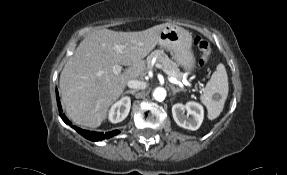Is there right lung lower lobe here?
Masks as SVG:
<instances>
[{"label":"right lung lower lobe","instance_id":"right-lung-lower-lobe-1","mask_svg":"<svg viewBox=\"0 0 287 175\" xmlns=\"http://www.w3.org/2000/svg\"><path fill=\"white\" fill-rule=\"evenodd\" d=\"M56 97H57V104H58V109L60 112V117L62 118V120L70 125L72 128H74L80 135L84 136L86 139L91 140V141H101L103 139H108L113 137L114 135H117L119 133V131L114 130L111 132H106L105 134L102 132H94V131H88V130H83L81 128H78L74 125L71 124V122L66 118V116L64 114H62V108H61V104L59 101V96H58V91L56 90Z\"/></svg>","mask_w":287,"mask_h":175}]
</instances>
